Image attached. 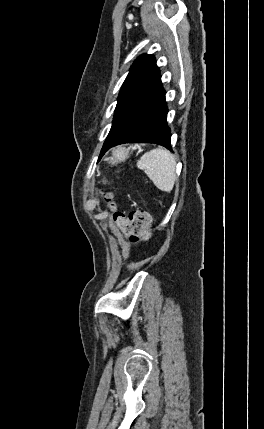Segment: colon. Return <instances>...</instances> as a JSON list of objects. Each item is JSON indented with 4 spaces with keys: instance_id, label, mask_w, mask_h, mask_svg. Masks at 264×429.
I'll list each match as a JSON object with an SVG mask.
<instances>
[{
    "instance_id": "colon-1",
    "label": "colon",
    "mask_w": 264,
    "mask_h": 429,
    "mask_svg": "<svg viewBox=\"0 0 264 429\" xmlns=\"http://www.w3.org/2000/svg\"><path fill=\"white\" fill-rule=\"evenodd\" d=\"M112 195L104 194V200L110 202ZM114 221L121 228L131 233V240L138 242L150 237L151 215L145 210H134L128 215L122 212L114 213Z\"/></svg>"
}]
</instances>
